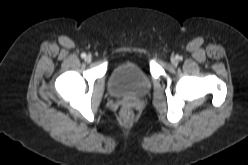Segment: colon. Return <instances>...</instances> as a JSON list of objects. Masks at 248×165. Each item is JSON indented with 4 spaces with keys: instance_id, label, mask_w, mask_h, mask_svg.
Returning <instances> with one entry per match:
<instances>
[{
    "instance_id": "colon-1",
    "label": "colon",
    "mask_w": 248,
    "mask_h": 165,
    "mask_svg": "<svg viewBox=\"0 0 248 165\" xmlns=\"http://www.w3.org/2000/svg\"><path fill=\"white\" fill-rule=\"evenodd\" d=\"M122 117L126 120H131L133 118V112L130 109L125 108L122 110Z\"/></svg>"
}]
</instances>
